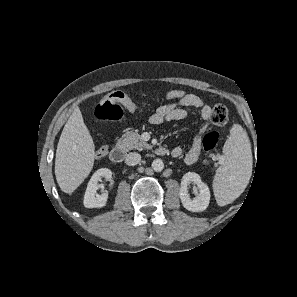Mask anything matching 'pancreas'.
<instances>
[{
	"label": "pancreas",
	"mask_w": 297,
	"mask_h": 297,
	"mask_svg": "<svg viewBox=\"0 0 297 297\" xmlns=\"http://www.w3.org/2000/svg\"><path fill=\"white\" fill-rule=\"evenodd\" d=\"M118 143L125 151L132 149L141 151L152 148L151 145L141 139L137 132H127L119 139Z\"/></svg>",
	"instance_id": "cf45deb5"
}]
</instances>
